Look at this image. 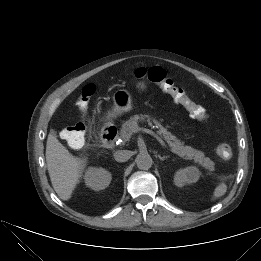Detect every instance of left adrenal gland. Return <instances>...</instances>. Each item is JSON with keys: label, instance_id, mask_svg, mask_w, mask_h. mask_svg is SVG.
<instances>
[{"label": "left adrenal gland", "instance_id": "1", "mask_svg": "<svg viewBox=\"0 0 261 261\" xmlns=\"http://www.w3.org/2000/svg\"><path fill=\"white\" fill-rule=\"evenodd\" d=\"M160 159L163 161V160H165V157H160Z\"/></svg>", "mask_w": 261, "mask_h": 261}]
</instances>
